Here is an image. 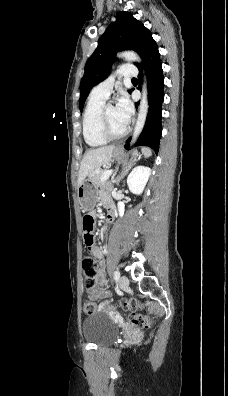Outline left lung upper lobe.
<instances>
[{
  "instance_id": "obj_1",
  "label": "left lung upper lobe",
  "mask_w": 228,
  "mask_h": 396,
  "mask_svg": "<svg viewBox=\"0 0 228 396\" xmlns=\"http://www.w3.org/2000/svg\"><path fill=\"white\" fill-rule=\"evenodd\" d=\"M153 41L151 32L130 12H119L116 21L108 26L100 37L96 50L86 62L80 84V111L92 87L108 76L117 51L134 50L144 61ZM140 65L136 64L137 67Z\"/></svg>"
}]
</instances>
